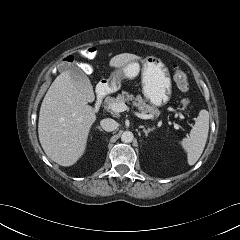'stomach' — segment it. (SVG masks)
Masks as SVG:
<instances>
[{
    "instance_id": "0dacf381",
    "label": "stomach",
    "mask_w": 240,
    "mask_h": 240,
    "mask_svg": "<svg viewBox=\"0 0 240 240\" xmlns=\"http://www.w3.org/2000/svg\"><path fill=\"white\" fill-rule=\"evenodd\" d=\"M142 69L136 61H131L112 73L107 84L112 90H118L124 78L134 79L141 70L143 94L153 106L165 105L171 97L172 84L169 71L161 59L148 56L141 60Z\"/></svg>"
}]
</instances>
